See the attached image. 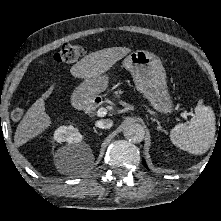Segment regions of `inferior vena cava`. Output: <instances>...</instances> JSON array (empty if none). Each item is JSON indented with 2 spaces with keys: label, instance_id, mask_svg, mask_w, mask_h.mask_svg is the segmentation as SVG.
<instances>
[{
  "label": "inferior vena cava",
  "instance_id": "602c4592",
  "mask_svg": "<svg viewBox=\"0 0 221 221\" xmlns=\"http://www.w3.org/2000/svg\"><path fill=\"white\" fill-rule=\"evenodd\" d=\"M96 127L101 129H110L113 125V121L111 119H103L96 122Z\"/></svg>",
  "mask_w": 221,
  "mask_h": 221
}]
</instances>
